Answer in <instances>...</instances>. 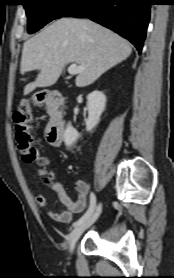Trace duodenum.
<instances>
[{
    "instance_id": "duodenum-1",
    "label": "duodenum",
    "mask_w": 174,
    "mask_h": 278,
    "mask_svg": "<svg viewBox=\"0 0 174 278\" xmlns=\"http://www.w3.org/2000/svg\"><path fill=\"white\" fill-rule=\"evenodd\" d=\"M61 98V93L55 90H43L37 94V101L39 103H47L52 107L59 104ZM64 129L65 127L62 116L57 112H53L46 127L47 140L53 145H59L63 140Z\"/></svg>"
}]
</instances>
